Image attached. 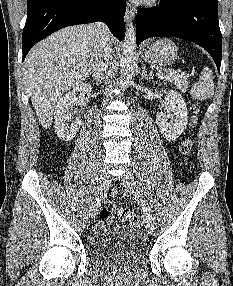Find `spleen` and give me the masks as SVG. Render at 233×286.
<instances>
[{
	"mask_svg": "<svg viewBox=\"0 0 233 286\" xmlns=\"http://www.w3.org/2000/svg\"><path fill=\"white\" fill-rule=\"evenodd\" d=\"M190 94L197 100H207L214 95V76L209 67H205L199 77V81L192 87Z\"/></svg>",
	"mask_w": 233,
	"mask_h": 286,
	"instance_id": "spleen-1",
	"label": "spleen"
}]
</instances>
